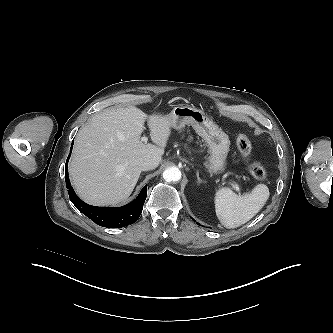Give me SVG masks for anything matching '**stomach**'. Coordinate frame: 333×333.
<instances>
[{"label":"stomach","mask_w":333,"mask_h":333,"mask_svg":"<svg viewBox=\"0 0 333 333\" xmlns=\"http://www.w3.org/2000/svg\"><path fill=\"white\" fill-rule=\"evenodd\" d=\"M172 128L181 130L190 124L201 136L209 148V158L206 164L210 173L218 174L226 167L230 140L228 135L219 128L205 113L189 106H177L167 115Z\"/></svg>","instance_id":"0dacf381"}]
</instances>
